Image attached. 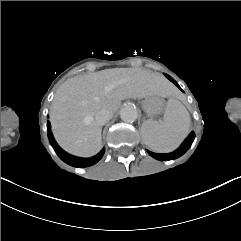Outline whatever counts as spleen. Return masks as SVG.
<instances>
[{
	"label": "spleen",
	"instance_id": "1",
	"mask_svg": "<svg viewBox=\"0 0 241 241\" xmlns=\"http://www.w3.org/2000/svg\"><path fill=\"white\" fill-rule=\"evenodd\" d=\"M142 141L155 152H170L176 149L190 132V116L184 105L169 99L163 121L145 120L140 128Z\"/></svg>",
	"mask_w": 241,
	"mask_h": 241
}]
</instances>
